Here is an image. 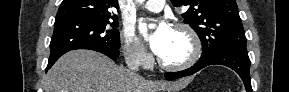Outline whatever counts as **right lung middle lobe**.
Masks as SVG:
<instances>
[{"mask_svg": "<svg viewBox=\"0 0 289 92\" xmlns=\"http://www.w3.org/2000/svg\"><path fill=\"white\" fill-rule=\"evenodd\" d=\"M117 18L76 17L55 20L50 42V58L87 46L119 49L120 34Z\"/></svg>", "mask_w": 289, "mask_h": 92, "instance_id": "right-lung-middle-lobe-1", "label": "right lung middle lobe"}]
</instances>
